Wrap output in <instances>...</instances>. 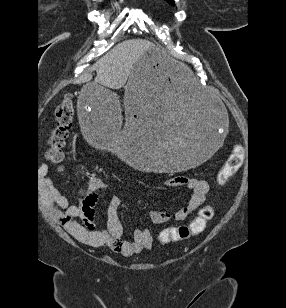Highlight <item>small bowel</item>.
Returning a JSON list of instances; mask_svg holds the SVG:
<instances>
[{"label": "small bowel", "instance_id": "obj_1", "mask_svg": "<svg viewBox=\"0 0 286 308\" xmlns=\"http://www.w3.org/2000/svg\"><path fill=\"white\" fill-rule=\"evenodd\" d=\"M42 169L47 171L46 166ZM44 178L48 188L49 210L52 217L78 240L92 246L108 247L113 252L124 256H132L153 247V237L147 228L135 229L132 240L122 238L123 225L119 217L121 199L116 196L112 197L108 204L106 229L94 228L96 205L105 191V184L98 177H91L86 182L80 202L76 205L69 204L67 197L55 187L47 172ZM166 184L169 187L186 186L191 191V196L187 203L173 214L162 210L151 211L149 216L153 224H162L170 219L184 221L205 202L209 190L207 181L186 176H175ZM78 219H81L82 223Z\"/></svg>", "mask_w": 286, "mask_h": 308}]
</instances>
